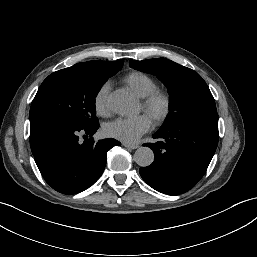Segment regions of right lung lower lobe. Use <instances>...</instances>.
Segmentation results:
<instances>
[{"mask_svg": "<svg viewBox=\"0 0 257 257\" xmlns=\"http://www.w3.org/2000/svg\"><path fill=\"white\" fill-rule=\"evenodd\" d=\"M99 123L78 128L51 120L30 122V145L45 181L56 191L75 194L89 188L104 171L115 139L94 142ZM80 135L86 139L82 142Z\"/></svg>", "mask_w": 257, "mask_h": 257, "instance_id": "1", "label": "right lung lower lobe"}]
</instances>
